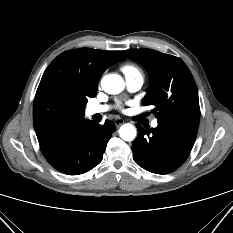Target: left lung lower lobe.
Masks as SVG:
<instances>
[{
  "mask_svg": "<svg viewBox=\"0 0 233 233\" xmlns=\"http://www.w3.org/2000/svg\"><path fill=\"white\" fill-rule=\"evenodd\" d=\"M138 136L132 143L133 159L143 169L168 174L180 167L194 145L198 125L158 123L156 128L136 124Z\"/></svg>",
  "mask_w": 233,
  "mask_h": 233,
  "instance_id": "obj_1",
  "label": "left lung lower lobe"
}]
</instances>
